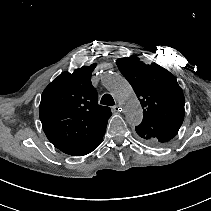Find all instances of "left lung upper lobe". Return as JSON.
I'll return each mask as SVG.
<instances>
[{"label":"left lung upper lobe","instance_id":"1","mask_svg":"<svg viewBox=\"0 0 211 211\" xmlns=\"http://www.w3.org/2000/svg\"><path fill=\"white\" fill-rule=\"evenodd\" d=\"M116 63L143 108L137 134L150 147L163 146L177 135L184 119L185 98L176 78L156 63L146 65L137 57Z\"/></svg>","mask_w":211,"mask_h":211}]
</instances>
